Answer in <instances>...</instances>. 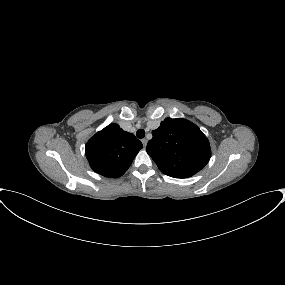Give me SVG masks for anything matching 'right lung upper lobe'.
Wrapping results in <instances>:
<instances>
[{"label":"right lung upper lobe","mask_w":285,"mask_h":285,"mask_svg":"<svg viewBox=\"0 0 285 285\" xmlns=\"http://www.w3.org/2000/svg\"><path fill=\"white\" fill-rule=\"evenodd\" d=\"M143 145L134 134L110 124L97 132L86 144L91 168L104 177L118 178L131 165Z\"/></svg>","instance_id":"obj_1"}]
</instances>
